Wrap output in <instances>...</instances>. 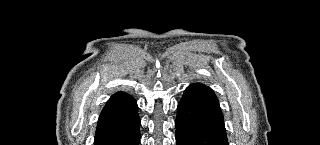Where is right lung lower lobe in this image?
Wrapping results in <instances>:
<instances>
[{
	"label": "right lung lower lobe",
	"instance_id": "98d812e1",
	"mask_svg": "<svg viewBox=\"0 0 320 145\" xmlns=\"http://www.w3.org/2000/svg\"><path fill=\"white\" fill-rule=\"evenodd\" d=\"M140 119L137 103L129 94L111 96L98 119L94 145H138Z\"/></svg>",
	"mask_w": 320,
	"mask_h": 145
}]
</instances>
